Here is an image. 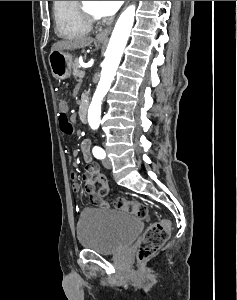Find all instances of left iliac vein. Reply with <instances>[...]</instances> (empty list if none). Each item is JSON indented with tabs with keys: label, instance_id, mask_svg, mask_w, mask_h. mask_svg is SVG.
Wrapping results in <instances>:
<instances>
[{
	"label": "left iliac vein",
	"instance_id": "1",
	"mask_svg": "<svg viewBox=\"0 0 237 300\" xmlns=\"http://www.w3.org/2000/svg\"><path fill=\"white\" fill-rule=\"evenodd\" d=\"M102 164L107 169H111L112 168L111 160L108 157H106V158L103 159Z\"/></svg>",
	"mask_w": 237,
	"mask_h": 300
}]
</instances>
